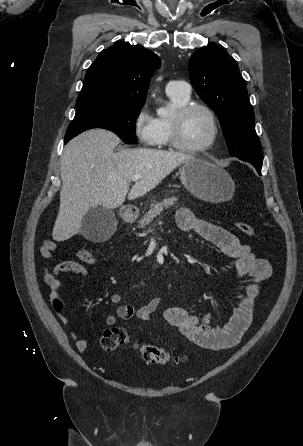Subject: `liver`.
Listing matches in <instances>:
<instances>
[{
	"mask_svg": "<svg viewBox=\"0 0 303 446\" xmlns=\"http://www.w3.org/2000/svg\"><path fill=\"white\" fill-rule=\"evenodd\" d=\"M119 138L104 129L86 131L67 146L60 163V208L52 232L65 241L80 230L84 215L94 207L114 209L126 196L137 199L154 189L176 167L194 159L191 155L155 149L114 148ZM142 178L129 190L133 175Z\"/></svg>",
	"mask_w": 303,
	"mask_h": 446,
	"instance_id": "obj_1",
	"label": "liver"
}]
</instances>
